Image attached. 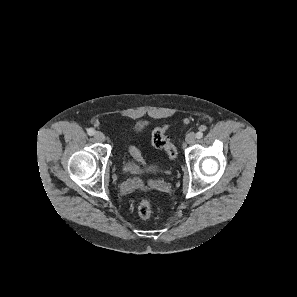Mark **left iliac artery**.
<instances>
[{
    "label": "left iliac artery",
    "mask_w": 297,
    "mask_h": 297,
    "mask_svg": "<svg viewBox=\"0 0 297 297\" xmlns=\"http://www.w3.org/2000/svg\"><path fill=\"white\" fill-rule=\"evenodd\" d=\"M203 137V133L201 131L196 133V138L201 139Z\"/></svg>",
    "instance_id": "obj_1"
}]
</instances>
